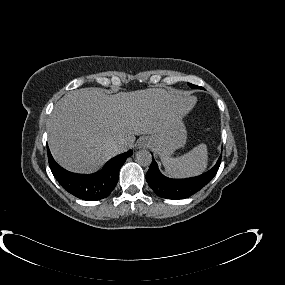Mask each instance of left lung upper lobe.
<instances>
[{
    "mask_svg": "<svg viewBox=\"0 0 285 285\" xmlns=\"http://www.w3.org/2000/svg\"><path fill=\"white\" fill-rule=\"evenodd\" d=\"M188 84H189V86H190L191 88H194V89H201V88H202V87H199V86L190 84V83H188Z\"/></svg>",
    "mask_w": 285,
    "mask_h": 285,
    "instance_id": "1",
    "label": "left lung upper lobe"
}]
</instances>
